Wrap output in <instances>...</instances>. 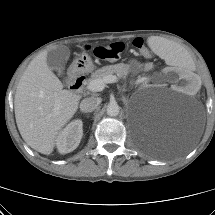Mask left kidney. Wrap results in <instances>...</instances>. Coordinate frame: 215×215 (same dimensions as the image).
<instances>
[{"label": "left kidney", "mask_w": 215, "mask_h": 215, "mask_svg": "<svg viewBox=\"0 0 215 215\" xmlns=\"http://www.w3.org/2000/svg\"><path fill=\"white\" fill-rule=\"evenodd\" d=\"M168 79L178 91L186 90L191 95H196L200 91L201 79L191 72L182 71L180 68H172L168 72Z\"/></svg>", "instance_id": "1"}]
</instances>
